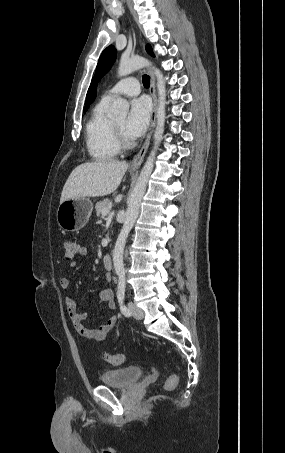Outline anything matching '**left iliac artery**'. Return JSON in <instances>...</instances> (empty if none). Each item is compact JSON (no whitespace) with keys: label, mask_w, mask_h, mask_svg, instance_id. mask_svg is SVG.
Listing matches in <instances>:
<instances>
[{"label":"left iliac artery","mask_w":285,"mask_h":453,"mask_svg":"<svg viewBox=\"0 0 285 453\" xmlns=\"http://www.w3.org/2000/svg\"><path fill=\"white\" fill-rule=\"evenodd\" d=\"M119 282H118V290H117V299L118 303L120 305V310L123 315L126 317L131 316L130 310L124 305V298H125V273L124 272H119Z\"/></svg>","instance_id":"44dca946"}]
</instances>
